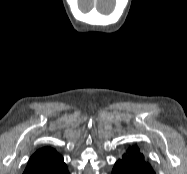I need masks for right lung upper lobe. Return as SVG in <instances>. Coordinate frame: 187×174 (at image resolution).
<instances>
[{
    "mask_svg": "<svg viewBox=\"0 0 187 174\" xmlns=\"http://www.w3.org/2000/svg\"><path fill=\"white\" fill-rule=\"evenodd\" d=\"M65 169L63 158L53 148L45 147L31 156L23 174H59Z\"/></svg>",
    "mask_w": 187,
    "mask_h": 174,
    "instance_id": "1",
    "label": "right lung upper lobe"
}]
</instances>
